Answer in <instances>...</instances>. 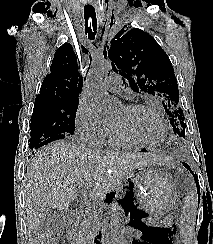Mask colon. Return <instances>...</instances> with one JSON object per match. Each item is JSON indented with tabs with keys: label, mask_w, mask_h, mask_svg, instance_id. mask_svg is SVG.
<instances>
[{
	"label": "colon",
	"mask_w": 213,
	"mask_h": 244,
	"mask_svg": "<svg viewBox=\"0 0 213 244\" xmlns=\"http://www.w3.org/2000/svg\"><path fill=\"white\" fill-rule=\"evenodd\" d=\"M38 242V244H53V236L50 233H46L40 237Z\"/></svg>",
	"instance_id": "colon-1"
}]
</instances>
